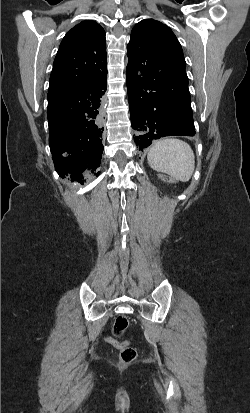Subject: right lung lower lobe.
Wrapping results in <instances>:
<instances>
[{
  "instance_id": "right-lung-lower-lobe-1",
  "label": "right lung lower lobe",
  "mask_w": 250,
  "mask_h": 413,
  "mask_svg": "<svg viewBox=\"0 0 250 413\" xmlns=\"http://www.w3.org/2000/svg\"><path fill=\"white\" fill-rule=\"evenodd\" d=\"M106 80L107 70L88 82L48 92L49 145L62 178L82 181L84 171L96 172L100 166Z\"/></svg>"
}]
</instances>
